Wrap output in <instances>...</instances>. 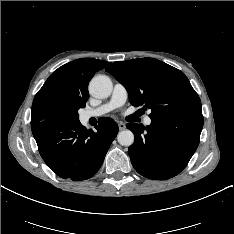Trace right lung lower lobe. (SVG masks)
<instances>
[{
	"label": "right lung lower lobe",
	"mask_w": 234,
	"mask_h": 234,
	"mask_svg": "<svg viewBox=\"0 0 234 234\" xmlns=\"http://www.w3.org/2000/svg\"><path fill=\"white\" fill-rule=\"evenodd\" d=\"M95 128L87 130L80 121L53 119L31 126L45 163L59 177L74 181L97 173L119 130L107 117L100 118Z\"/></svg>",
	"instance_id": "right-lung-lower-lobe-1"
}]
</instances>
